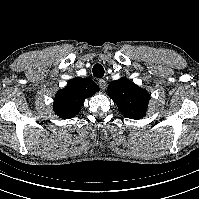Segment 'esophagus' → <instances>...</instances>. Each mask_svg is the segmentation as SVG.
Returning a JSON list of instances; mask_svg holds the SVG:
<instances>
[{"instance_id":"34e87169","label":"esophagus","mask_w":199,"mask_h":199,"mask_svg":"<svg viewBox=\"0 0 199 199\" xmlns=\"http://www.w3.org/2000/svg\"><path fill=\"white\" fill-rule=\"evenodd\" d=\"M98 84L101 90L104 91L106 89L107 83L104 79H99Z\"/></svg>"}]
</instances>
